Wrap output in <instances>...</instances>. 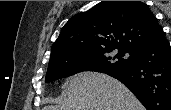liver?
<instances>
[{
	"label": "liver",
	"instance_id": "1",
	"mask_svg": "<svg viewBox=\"0 0 171 110\" xmlns=\"http://www.w3.org/2000/svg\"><path fill=\"white\" fill-rule=\"evenodd\" d=\"M66 98L43 110H144L139 100L121 82L109 75L82 72L63 85Z\"/></svg>",
	"mask_w": 171,
	"mask_h": 110
}]
</instances>
